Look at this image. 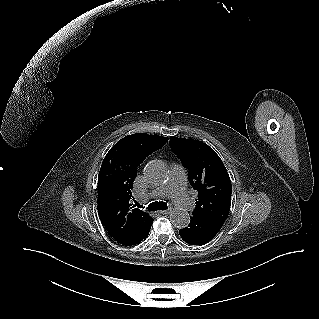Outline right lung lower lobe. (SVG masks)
Instances as JSON below:
<instances>
[{
	"mask_svg": "<svg viewBox=\"0 0 319 319\" xmlns=\"http://www.w3.org/2000/svg\"><path fill=\"white\" fill-rule=\"evenodd\" d=\"M152 225V224H151ZM150 225V227H151ZM150 227L141 235V237L137 240V242L133 245H136L138 243H140L143 239H146L148 234H149V231H150Z\"/></svg>",
	"mask_w": 319,
	"mask_h": 319,
	"instance_id": "98d812e1",
	"label": "right lung lower lobe"
}]
</instances>
